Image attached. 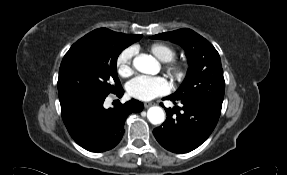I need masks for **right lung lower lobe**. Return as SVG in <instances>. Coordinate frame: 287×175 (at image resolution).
<instances>
[{
    "label": "right lung lower lobe",
    "mask_w": 287,
    "mask_h": 175,
    "mask_svg": "<svg viewBox=\"0 0 287 175\" xmlns=\"http://www.w3.org/2000/svg\"><path fill=\"white\" fill-rule=\"evenodd\" d=\"M121 89L116 96L121 97ZM106 97L73 96L60 101L63 122L74 141L91 152L114 148L122 139L126 117L143 109V103L132 99L117 107L105 109Z\"/></svg>",
    "instance_id": "1"
}]
</instances>
